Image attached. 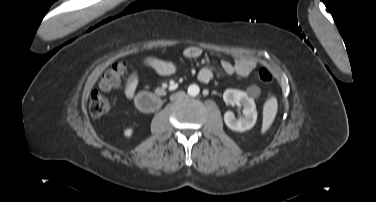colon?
Listing matches in <instances>:
<instances>
[{"label": "colon", "mask_w": 376, "mask_h": 202, "mask_svg": "<svg viewBox=\"0 0 376 202\" xmlns=\"http://www.w3.org/2000/svg\"><path fill=\"white\" fill-rule=\"evenodd\" d=\"M126 72L124 63H115L104 72L100 81L99 88L102 91H110L120 84V78ZM258 79L265 84L272 81V75L266 68H260L257 72ZM109 101L98 92H93L89 100V110L93 117H100L109 110Z\"/></svg>", "instance_id": "1"}]
</instances>
